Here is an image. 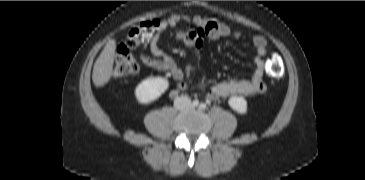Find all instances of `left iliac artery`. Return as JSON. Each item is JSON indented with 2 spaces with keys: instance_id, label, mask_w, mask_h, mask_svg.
<instances>
[{
  "instance_id": "left-iliac-artery-1",
  "label": "left iliac artery",
  "mask_w": 365,
  "mask_h": 180,
  "mask_svg": "<svg viewBox=\"0 0 365 180\" xmlns=\"http://www.w3.org/2000/svg\"><path fill=\"white\" fill-rule=\"evenodd\" d=\"M199 108H200L201 110H205V109H206V104L201 103V104H200V106H199Z\"/></svg>"
}]
</instances>
